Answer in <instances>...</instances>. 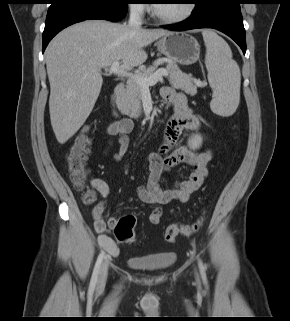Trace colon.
Segmentation results:
<instances>
[{"label":"colon","mask_w":290,"mask_h":321,"mask_svg":"<svg viewBox=\"0 0 290 321\" xmlns=\"http://www.w3.org/2000/svg\"><path fill=\"white\" fill-rule=\"evenodd\" d=\"M91 137L89 130L83 128L74 138L67 154L66 165L70 175V180L74 187L79 191H85V202L92 204L96 200V194L93 190L86 189V182L89 175L87 166L88 155L90 152ZM203 223V217L199 218L192 225H169L164 233V238L168 243L175 241L179 235L189 236L197 232ZM136 225V216L134 214H126L119 218L114 227L115 237L120 243H135L134 227Z\"/></svg>","instance_id":"5ec220e1"}]
</instances>
